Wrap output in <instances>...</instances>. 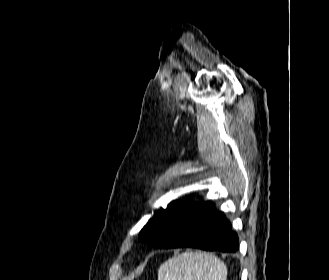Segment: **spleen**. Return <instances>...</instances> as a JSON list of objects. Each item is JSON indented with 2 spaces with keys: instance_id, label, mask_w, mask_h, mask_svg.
<instances>
[{
  "instance_id": "3e777b00",
  "label": "spleen",
  "mask_w": 329,
  "mask_h": 280,
  "mask_svg": "<svg viewBox=\"0 0 329 280\" xmlns=\"http://www.w3.org/2000/svg\"><path fill=\"white\" fill-rule=\"evenodd\" d=\"M226 265L212 253L186 252L165 261L158 280H226Z\"/></svg>"
}]
</instances>
